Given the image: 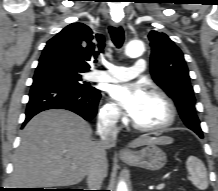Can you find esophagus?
<instances>
[{
  "label": "esophagus",
  "instance_id": "esophagus-1",
  "mask_svg": "<svg viewBox=\"0 0 218 191\" xmlns=\"http://www.w3.org/2000/svg\"><path fill=\"white\" fill-rule=\"evenodd\" d=\"M113 25L115 27H123L124 24L122 21H119V22H113ZM119 155L120 156H128V155H130V151L128 149L122 148L119 151Z\"/></svg>",
  "mask_w": 218,
  "mask_h": 191
}]
</instances>
